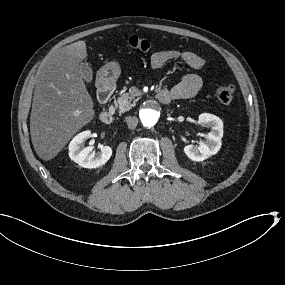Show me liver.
I'll use <instances>...</instances> for the list:
<instances>
[{"mask_svg":"<svg viewBox=\"0 0 285 285\" xmlns=\"http://www.w3.org/2000/svg\"><path fill=\"white\" fill-rule=\"evenodd\" d=\"M87 58L85 41L69 44L48 58L36 83L30 135L36 154L45 162L53 160L96 116L81 76L80 64Z\"/></svg>","mask_w":285,"mask_h":285,"instance_id":"1","label":"liver"}]
</instances>
